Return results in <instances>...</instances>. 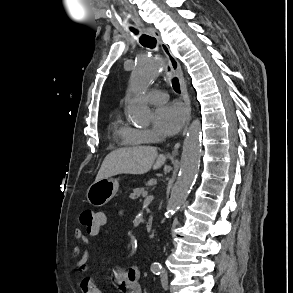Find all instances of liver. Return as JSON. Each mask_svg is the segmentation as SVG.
<instances>
[{
	"label": "liver",
	"instance_id": "obj_1",
	"mask_svg": "<svg viewBox=\"0 0 293 293\" xmlns=\"http://www.w3.org/2000/svg\"><path fill=\"white\" fill-rule=\"evenodd\" d=\"M165 162L166 157L162 154L158 155L154 147L121 148L106 156L95 181L118 174H145L151 168L154 170L161 168Z\"/></svg>",
	"mask_w": 293,
	"mask_h": 293
}]
</instances>
